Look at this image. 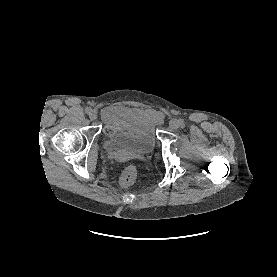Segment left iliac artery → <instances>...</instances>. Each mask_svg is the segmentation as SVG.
Segmentation results:
<instances>
[{"mask_svg":"<svg viewBox=\"0 0 277 277\" xmlns=\"http://www.w3.org/2000/svg\"><path fill=\"white\" fill-rule=\"evenodd\" d=\"M180 124H181V127H184L185 126L184 120H180Z\"/></svg>","mask_w":277,"mask_h":277,"instance_id":"44dca946","label":"left iliac artery"}]
</instances>
